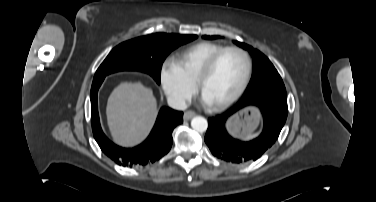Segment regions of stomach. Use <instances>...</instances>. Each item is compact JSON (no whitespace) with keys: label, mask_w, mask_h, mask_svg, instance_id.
Returning <instances> with one entry per match:
<instances>
[{"label":"stomach","mask_w":376,"mask_h":202,"mask_svg":"<svg viewBox=\"0 0 376 202\" xmlns=\"http://www.w3.org/2000/svg\"><path fill=\"white\" fill-rule=\"evenodd\" d=\"M259 117L255 111H242L236 114L229 122V129L233 135L248 136L258 126Z\"/></svg>","instance_id":"obj_1"}]
</instances>
